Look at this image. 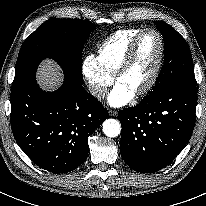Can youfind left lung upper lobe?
<instances>
[{
	"mask_svg": "<svg viewBox=\"0 0 206 206\" xmlns=\"http://www.w3.org/2000/svg\"><path fill=\"white\" fill-rule=\"evenodd\" d=\"M155 25L164 38L165 62L153 91L147 96L159 94L179 85L196 86L192 56L185 39L163 21H155Z\"/></svg>",
	"mask_w": 206,
	"mask_h": 206,
	"instance_id": "5c2ea615",
	"label": "left lung upper lobe"
}]
</instances>
